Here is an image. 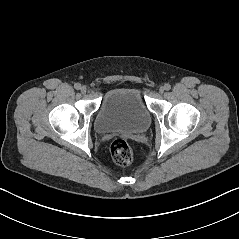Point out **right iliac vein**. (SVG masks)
<instances>
[{
  "label": "right iliac vein",
  "instance_id": "63e3f726",
  "mask_svg": "<svg viewBox=\"0 0 239 239\" xmlns=\"http://www.w3.org/2000/svg\"><path fill=\"white\" fill-rule=\"evenodd\" d=\"M80 90L83 94L87 92V88L85 86H82Z\"/></svg>",
  "mask_w": 239,
  "mask_h": 239
}]
</instances>
